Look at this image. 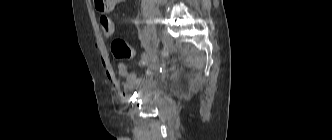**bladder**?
Wrapping results in <instances>:
<instances>
[{"label":"bladder","instance_id":"obj_1","mask_svg":"<svg viewBox=\"0 0 332 140\" xmlns=\"http://www.w3.org/2000/svg\"><path fill=\"white\" fill-rule=\"evenodd\" d=\"M141 98L146 101L149 99V91H146L142 94Z\"/></svg>","mask_w":332,"mask_h":140}]
</instances>
